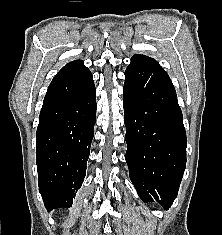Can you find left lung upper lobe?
<instances>
[{
	"label": "left lung upper lobe",
	"instance_id": "5c2ea615",
	"mask_svg": "<svg viewBox=\"0 0 222 235\" xmlns=\"http://www.w3.org/2000/svg\"><path fill=\"white\" fill-rule=\"evenodd\" d=\"M133 57H142V58L154 60V59L147 57V56H144V55H134Z\"/></svg>",
	"mask_w": 222,
	"mask_h": 235
}]
</instances>
